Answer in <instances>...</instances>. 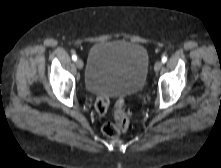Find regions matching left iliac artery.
<instances>
[{"label": "left iliac artery", "instance_id": "44dca946", "mask_svg": "<svg viewBox=\"0 0 221 168\" xmlns=\"http://www.w3.org/2000/svg\"><path fill=\"white\" fill-rule=\"evenodd\" d=\"M166 61H167V57H166V56H163V57H162V63H166Z\"/></svg>", "mask_w": 221, "mask_h": 168}]
</instances>
